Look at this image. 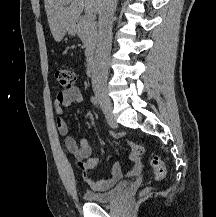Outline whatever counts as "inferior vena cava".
I'll return each mask as SVG.
<instances>
[{
	"label": "inferior vena cava",
	"mask_w": 216,
	"mask_h": 217,
	"mask_svg": "<svg viewBox=\"0 0 216 217\" xmlns=\"http://www.w3.org/2000/svg\"><path fill=\"white\" fill-rule=\"evenodd\" d=\"M117 0H103L98 21V43L92 72V87H105L108 74V59L112 42V24Z\"/></svg>",
	"instance_id": "602c4592"
}]
</instances>
